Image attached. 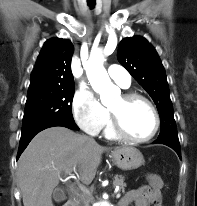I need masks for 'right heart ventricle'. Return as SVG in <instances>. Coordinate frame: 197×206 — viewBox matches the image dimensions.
Masks as SVG:
<instances>
[{"label":"right heart ventricle","mask_w":197,"mask_h":206,"mask_svg":"<svg viewBox=\"0 0 197 206\" xmlns=\"http://www.w3.org/2000/svg\"><path fill=\"white\" fill-rule=\"evenodd\" d=\"M104 134L109 139H113V138L117 137V135L115 134V132L112 129L111 121L109 120V118L107 119V121L104 125Z\"/></svg>","instance_id":"1"}]
</instances>
